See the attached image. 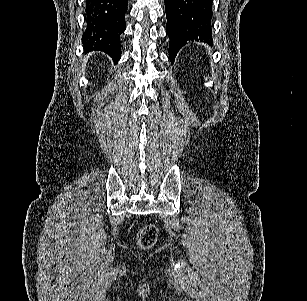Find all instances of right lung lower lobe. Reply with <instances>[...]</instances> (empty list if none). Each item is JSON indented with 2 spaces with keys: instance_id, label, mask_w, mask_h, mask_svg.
<instances>
[{
  "instance_id": "obj_1",
  "label": "right lung lower lobe",
  "mask_w": 307,
  "mask_h": 301,
  "mask_svg": "<svg viewBox=\"0 0 307 301\" xmlns=\"http://www.w3.org/2000/svg\"><path fill=\"white\" fill-rule=\"evenodd\" d=\"M128 0H86V31L82 43L85 51L100 50L114 62L121 56L120 35L125 31Z\"/></svg>"
}]
</instances>
